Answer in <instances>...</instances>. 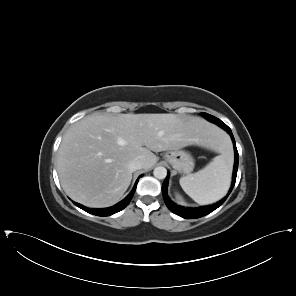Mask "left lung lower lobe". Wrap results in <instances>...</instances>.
<instances>
[{
  "label": "left lung lower lobe",
  "instance_id": "1",
  "mask_svg": "<svg viewBox=\"0 0 296 296\" xmlns=\"http://www.w3.org/2000/svg\"><path fill=\"white\" fill-rule=\"evenodd\" d=\"M217 125H219L223 129H225L230 134L233 144H234L235 162H234L233 177H232L233 180H232L231 188H230L227 196L224 197L219 202H217L216 204L204 206V207H200V208H184L182 206H179V205L173 203L167 195V186H168V177H169V174H168L166 179L163 182V185H162V194H163L164 201H165L167 207L169 208V210H171L173 213H175L183 218L194 219V218H199V217H202V216H205V215L211 213L212 211H214L215 209H217L219 206H221L224 203V201L227 199L228 195L231 193V191L235 185L237 170H238V161H239V155H238V151L236 148L235 139L233 137V134H232L230 128L226 124H217Z\"/></svg>",
  "mask_w": 296,
  "mask_h": 296
}]
</instances>
